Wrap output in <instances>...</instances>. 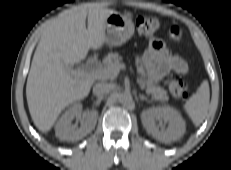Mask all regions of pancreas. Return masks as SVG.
Instances as JSON below:
<instances>
[{
	"label": "pancreas",
	"mask_w": 231,
	"mask_h": 170,
	"mask_svg": "<svg viewBox=\"0 0 231 170\" xmlns=\"http://www.w3.org/2000/svg\"><path fill=\"white\" fill-rule=\"evenodd\" d=\"M120 64H122V57L118 53H109L103 61V68L108 69L110 67H116ZM137 81L141 88L146 89L147 93L152 95L153 99L161 102L168 99L167 91L149 80L146 77L144 70H141Z\"/></svg>",
	"instance_id": "cf45deb5"
}]
</instances>
